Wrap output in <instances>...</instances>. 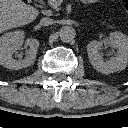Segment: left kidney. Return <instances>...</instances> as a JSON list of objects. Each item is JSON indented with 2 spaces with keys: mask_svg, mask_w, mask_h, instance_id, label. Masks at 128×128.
<instances>
[{
  "mask_svg": "<svg viewBox=\"0 0 128 128\" xmlns=\"http://www.w3.org/2000/svg\"><path fill=\"white\" fill-rule=\"evenodd\" d=\"M103 45L117 49V53L108 61H104L100 52ZM88 58L94 69L109 74L124 70L128 62V37L123 33H110L109 38L102 41H91L87 45Z\"/></svg>",
  "mask_w": 128,
  "mask_h": 128,
  "instance_id": "5707ae66",
  "label": "left kidney"
}]
</instances>
